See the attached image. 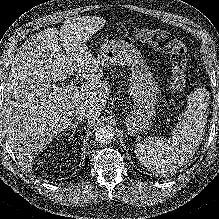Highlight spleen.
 <instances>
[{"label": "spleen", "instance_id": "obj_1", "mask_svg": "<svg viewBox=\"0 0 219 219\" xmlns=\"http://www.w3.org/2000/svg\"><path fill=\"white\" fill-rule=\"evenodd\" d=\"M206 91L197 88L169 139L148 137L135 146L139 161L156 175L176 173L201 144L208 114Z\"/></svg>", "mask_w": 219, "mask_h": 219}]
</instances>
